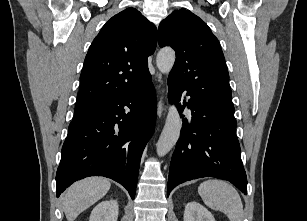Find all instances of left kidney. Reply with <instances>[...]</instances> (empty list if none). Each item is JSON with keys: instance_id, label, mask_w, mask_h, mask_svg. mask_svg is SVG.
<instances>
[{"instance_id": "left-kidney-1", "label": "left kidney", "mask_w": 307, "mask_h": 221, "mask_svg": "<svg viewBox=\"0 0 307 221\" xmlns=\"http://www.w3.org/2000/svg\"><path fill=\"white\" fill-rule=\"evenodd\" d=\"M184 221H215V219L204 206L192 201L185 206Z\"/></svg>"}]
</instances>
